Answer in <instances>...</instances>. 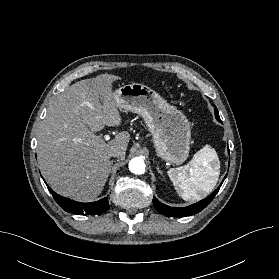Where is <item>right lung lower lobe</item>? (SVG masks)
Here are the masks:
<instances>
[{
	"label": "right lung lower lobe",
	"mask_w": 279,
	"mask_h": 279,
	"mask_svg": "<svg viewBox=\"0 0 279 279\" xmlns=\"http://www.w3.org/2000/svg\"><path fill=\"white\" fill-rule=\"evenodd\" d=\"M48 189L55 201L67 212L78 215H96L102 214L108 209L109 204L107 197L92 203H81L62 197L51 190L49 187Z\"/></svg>",
	"instance_id": "obj_1"
}]
</instances>
